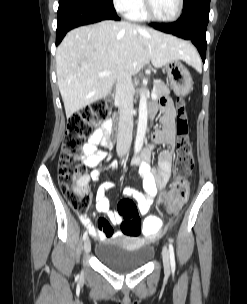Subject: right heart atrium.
Here are the masks:
<instances>
[{
  "mask_svg": "<svg viewBox=\"0 0 247 304\" xmlns=\"http://www.w3.org/2000/svg\"><path fill=\"white\" fill-rule=\"evenodd\" d=\"M114 7L123 13H128L130 10L139 6L141 0H112Z\"/></svg>",
  "mask_w": 247,
  "mask_h": 304,
  "instance_id": "d8ad5b80",
  "label": "right heart atrium"
}]
</instances>
